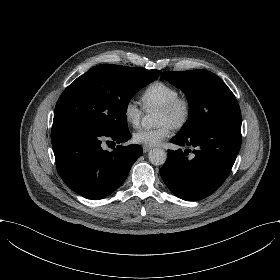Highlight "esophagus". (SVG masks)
I'll return each mask as SVG.
<instances>
[{
    "instance_id": "esophagus-1",
    "label": "esophagus",
    "mask_w": 280,
    "mask_h": 280,
    "mask_svg": "<svg viewBox=\"0 0 280 280\" xmlns=\"http://www.w3.org/2000/svg\"><path fill=\"white\" fill-rule=\"evenodd\" d=\"M151 150V147L150 146H147V145H144L143 146V152L144 153H147V152H149Z\"/></svg>"
}]
</instances>
